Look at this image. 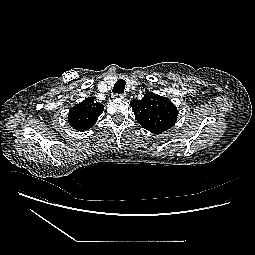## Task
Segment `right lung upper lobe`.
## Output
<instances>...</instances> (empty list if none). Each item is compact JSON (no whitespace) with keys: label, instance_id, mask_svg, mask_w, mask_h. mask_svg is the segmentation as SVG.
Instances as JSON below:
<instances>
[{"label":"right lung upper lobe","instance_id":"cb5924a9","mask_svg":"<svg viewBox=\"0 0 255 255\" xmlns=\"http://www.w3.org/2000/svg\"><path fill=\"white\" fill-rule=\"evenodd\" d=\"M103 110V104L89 97L70 110L68 121L74 129L84 131L96 123Z\"/></svg>","mask_w":255,"mask_h":255}]
</instances>
